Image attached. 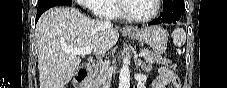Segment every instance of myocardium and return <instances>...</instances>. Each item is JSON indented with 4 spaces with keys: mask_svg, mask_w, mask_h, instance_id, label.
Wrapping results in <instances>:
<instances>
[{
    "mask_svg": "<svg viewBox=\"0 0 227 88\" xmlns=\"http://www.w3.org/2000/svg\"><path fill=\"white\" fill-rule=\"evenodd\" d=\"M128 1H132V0H119L118 1V11L123 18H125L131 22L147 23V22L152 21L159 14L160 0H154L155 10L150 16H147V17H135V16L128 14L126 11V8H125V3Z\"/></svg>",
    "mask_w": 227,
    "mask_h": 88,
    "instance_id": "f54148a6",
    "label": "myocardium"
}]
</instances>
